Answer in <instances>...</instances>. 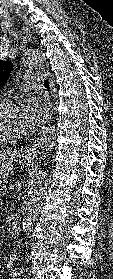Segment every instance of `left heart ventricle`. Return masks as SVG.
<instances>
[{
  "label": "left heart ventricle",
  "mask_w": 113,
  "mask_h": 279,
  "mask_svg": "<svg viewBox=\"0 0 113 279\" xmlns=\"http://www.w3.org/2000/svg\"><path fill=\"white\" fill-rule=\"evenodd\" d=\"M0 130L9 136L26 134L21 108L4 109L0 113Z\"/></svg>",
  "instance_id": "1"
}]
</instances>
